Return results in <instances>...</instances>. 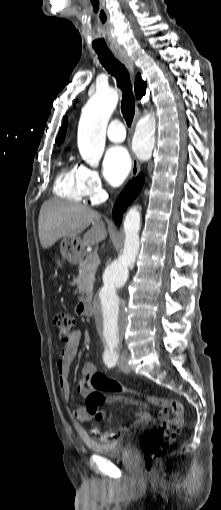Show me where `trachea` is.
Segmentation results:
<instances>
[{
    "mask_svg": "<svg viewBox=\"0 0 221 510\" xmlns=\"http://www.w3.org/2000/svg\"><path fill=\"white\" fill-rule=\"evenodd\" d=\"M102 66L116 78L117 86L122 90L121 112L128 126L131 125L135 114V101L132 92L130 75L112 53L96 51Z\"/></svg>",
    "mask_w": 221,
    "mask_h": 510,
    "instance_id": "3493384b",
    "label": "trachea"
}]
</instances>
